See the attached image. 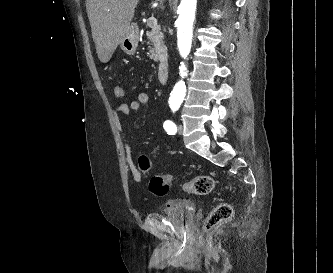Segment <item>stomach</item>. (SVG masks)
Wrapping results in <instances>:
<instances>
[{
    "label": "stomach",
    "instance_id": "1",
    "mask_svg": "<svg viewBox=\"0 0 333 273\" xmlns=\"http://www.w3.org/2000/svg\"><path fill=\"white\" fill-rule=\"evenodd\" d=\"M138 40H139V36H138L136 29L133 27H130L128 33L122 39V41L120 43V47L125 53L132 55L135 53V51L137 49Z\"/></svg>",
    "mask_w": 333,
    "mask_h": 273
}]
</instances>
